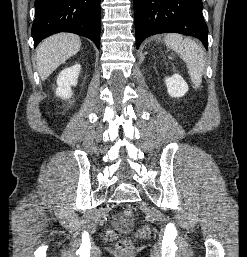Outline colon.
<instances>
[{
    "label": "colon",
    "instance_id": "1",
    "mask_svg": "<svg viewBox=\"0 0 247 257\" xmlns=\"http://www.w3.org/2000/svg\"><path fill=\"white\" fill-rule=\"evenodd\" d=\"M123 217L125 219H132L134 217V211L131 208H127L123 211ZM116 249L120 253H128L132 249V242L128 239L119 240L116 244Z\"/></svg>",
    "mask_w": 247,
    "mask_h": 257
}]
</instances>
